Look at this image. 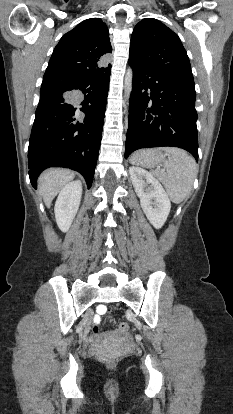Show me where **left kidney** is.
<instances>
[{
  "label": "left kidney",
  "instance_id": "1",
  "mask_svg": "<svg viewBox=\"0 0 233 414\" xmlns=\"http://www.w3.org/2000/svg\"><path fill=\"white\" fill-rule=\"evenodd\" d=\"M129 174L147 219L156 229L161 228L171 209L167 193L159 181L148 171L132 166L129 168Z\"/></svg>",
  "mask_w": 233,
  "mask_h": 414
}]
</instances>
